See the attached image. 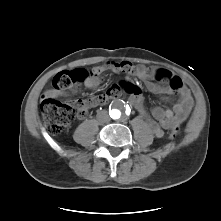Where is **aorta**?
I'll list each match as a JSON object with an SVG mask.
<instances>
[{
	"label": "aorta",
	"mask_w": 221,
	"mask_h": 221,
	"mask_svg": "<svg viewBox=\"0 0 221 221\" xmlns=\"http://www.w3.org/2000/svg\"><path fill=\"white\" fill-rule=\"evenodd\" d=\"M111 113L114 119H118L121 116V109H112Z\"/></svg>",
	"instance_id": "aorta-1"
}]
</instances>
